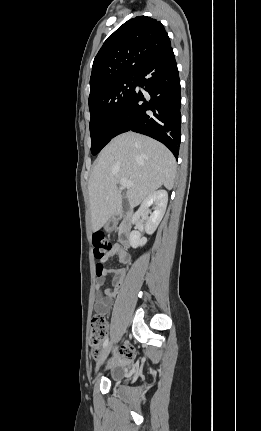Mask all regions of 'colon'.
Listing matches in <instances>:
<instances>
[{"mask_svg":"<svg viewBox=\"0 0 261 431\" xmlns=\"http://www.w3.org/2000/svg\"><path fill=\"white\" fill-rule=\"evenodd\" d=\"M93 246L95 258L99 261L96 265V275L101 276L104 270V261L109 257L112 252L114 243L107 238L104 234H95L93 236ZM107 330V321L103 314L95 315L91 320L90 329V347L91 354L94 358L99 356L101 343L104 339ZM131 354L129 349H125V355Z\"/></svg>","mask_w":261,"mask_h":431,"instance_id":"1","label":"colon"}]
</instances>
